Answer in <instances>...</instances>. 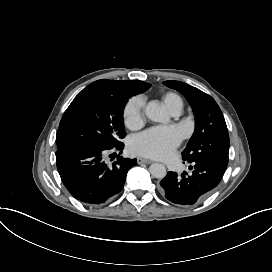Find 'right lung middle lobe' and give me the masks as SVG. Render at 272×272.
I'll return each instance as SVG.
<instances>
[{"mask_svg": "<svg viewBox=\"0 0 272 272\" xmlns=\"http://www.w3.org/2000/svg\"><path fill=\"white\" fill-rule=\"evenodd\" d=\"M151 87L139 82L136 91L83 89L65 111L56 135L57 149L88 145L113 149L126 133L123 109L131 95Z\"/></svg>", "mask_w": 272, "mask_h": 272, "instance_id": "obj_1", "label": "right lung middle lobe"}]
</instances>
